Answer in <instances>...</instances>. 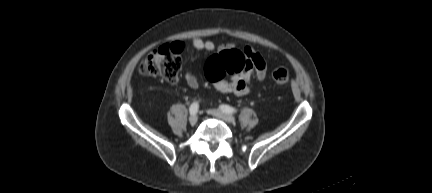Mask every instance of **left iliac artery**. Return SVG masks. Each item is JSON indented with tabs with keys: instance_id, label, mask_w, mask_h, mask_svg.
I'll return each instance as SVG.
<instances>
[{
	"instance_id": "44dca946",
	"label": "left iliac artery",
	"mask_w": 432,
	"mask_h": 193,
	"mask_svg": "<svg viewBox=\"0 0 432 193\" xmlns=\"http://www.w3.org/2000/svg\"><path fill=\"white\" fill-rule=\"evenodd\" d=\"M223 112H226V113H236L237 112V109H235V108H233V107H231V106H229V105H220V107H219Z\"/></svg>"
}]
</instances>
